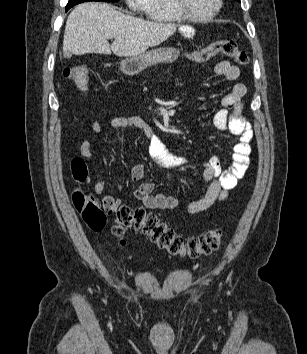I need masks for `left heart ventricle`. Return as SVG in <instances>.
I'll return each instance as SVG.
<instances>
[{"mask_svg": "<svg viewBox=\"0 0 307 354\" xmlns=\"http://www.w3.org/2000/svg\"><path fill=\"white\" fill-rule=\"evenodd\" d=\"M217 0H186L188 11L196 16L210 14L216 7Z\"/></svg>", "mask_w": 307, "mask_h": 354, "instance_id": "left-heart-ventricle-1", "label": "left heart ventricle"}]
</instances>
